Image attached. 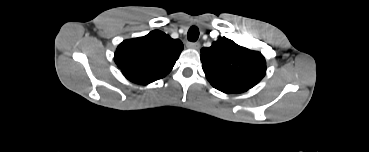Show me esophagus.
Masks as SVG:
<instances>
[{"mask_svg": "<svg viewBox=\"0 0 369 152\" xmlns=\"http://www.w3.org/2000/svg\"><path fill=\"white\" fill-rule=\"evenodd\" d=\"M187 47L190 49L198 50L200 48V43L199 42H188Z\"/></svg>", "mask_w": 369, "mask_h": 152, "instance_id": "1", "label": "esophagus"}]
</instances>
